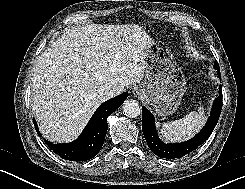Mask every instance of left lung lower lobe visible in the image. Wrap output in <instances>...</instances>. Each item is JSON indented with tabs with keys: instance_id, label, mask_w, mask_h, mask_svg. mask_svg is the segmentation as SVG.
<instances>
[{
	"instance_id": "1",
	"label": "left lung lower lobe",
	"mask_w": 245,
	"mask_h": 189,
	"mask_svg": "<svg viewBox=\"0 0 245 189\" xmlns=\"http://www.w3.org/2000/svg\"><path fill=\"white\" fill-rule=\"evenodd\" d=\"M214 68L215 70H217L218 77H220V68L217 61H215ZM221 110L222 91L220 89L219 95L213 103L211 115L201 132H199L198 135H196L193 139L189 141H185L182 143L165 144L158 137L155 128L154 116L145 107H142L143 134L149 148L155 155L167 159L180 158L195 150L199 145L203 144L209 138L218 122Z\"/></svg>"
}]
</instances>
